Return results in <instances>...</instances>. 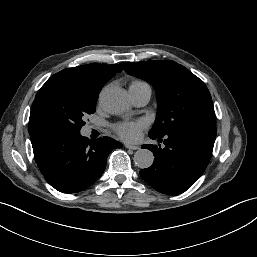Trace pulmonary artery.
I'll return each mask as SVG.
<instances>
[{
	"label": "pulmonary artery",
	"mask_w": 257,
	"mask_h": 257,
	"mask_svg": "<svg viewBox=\"0 0 257 257\" xmlns=\"http://www.w3.org/2000/svg\"><path fill=\"white\" fill-rule=\"evenodd\" d=\"M129 93L132 99V102L136 106L146 105L151 97V89L149 86L141 87L137 89L129 88Z\"/></svg>",
	"instance_id": "e3ab8cb5"
}]
</instances>
